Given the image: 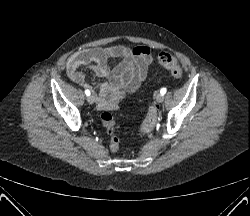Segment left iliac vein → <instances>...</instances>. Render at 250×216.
Instances as JSON below:
<instances>
[{
    "instance_id": "left-iliac-vein-1",
    "label": "left iliac vein",
    "mask_w": 250,
    "mask_h": 216,
    "mask_svg": "<svg viewBox=\"0 0 250 216\" xmlns=\"http://www.w3.org/2000/svg\"><path fill=\"white\" fill-rule=\"evenodd\" d=\"M156 100H157V102H159V103L163 102V101H164V95L161 94V93H158V94L156 95Z\"/></svg>"
}]
</instances>
